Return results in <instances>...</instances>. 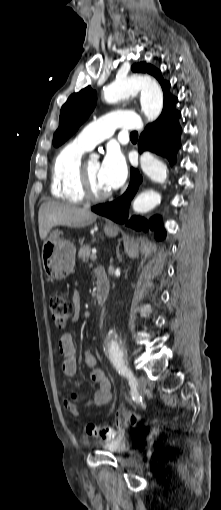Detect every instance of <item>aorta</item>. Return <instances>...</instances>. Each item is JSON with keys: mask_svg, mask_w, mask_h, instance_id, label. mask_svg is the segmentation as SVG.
I'll list each match as a JSON object with an SVG mask.
<instances>
[{"mask_svg": "<svg viewBox=\"0 0 221 510\" xmlns=\"http://www.w3.org/2000/svg\"><path fill=\"white\" fill-rule=\"evenodd\" d=\"M141 92V110L149 121H154L162 112L163 93L159 85L148 76L130 75L118 79L104 88V99L108 103L129 97ZM141 169L146 176L157 183H165L167 179V166L149 152L142 154L140 158ZM161 202V195L155 190L148 189L140 193L133 202V210L137 213H146L154 209ZM104 344L107 349H115L119 346V340L115 332L110 331L105 338Z\"/></svg>", "mask_w": 221, "mask_h": 510, "instance_id": "1", "label": "aorta"}]
</instances>
